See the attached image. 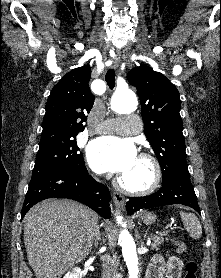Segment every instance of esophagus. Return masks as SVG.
Instances as JSON below:
<instances>
[{
	"mask_svg": "<svg viewBox=\"0 0 221 278\" xmlns=\"http://www.w3.org/2000/svg\"><path fill=\"white\" fill-rule=\"evenodd\" d=\"M120 51L117 50L114 58H113V68H118L119 64H120ZM113 200L115 202V204L121 208L124 207L125 204V198L122 194L118 193V192H114L113 193Z\"/></svg>",
	"mask_w": 221,
	"mask_h": 278,
	"instance_id": "esophagus-1",
	"label": "esophagus"
}]
</instances>
